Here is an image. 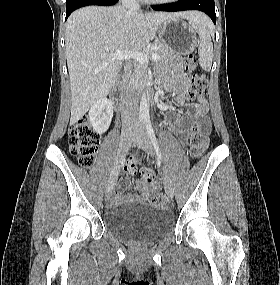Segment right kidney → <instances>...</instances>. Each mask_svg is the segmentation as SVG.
<instances>
[{"instance_id": "1", "label": "right kidney", "mask_w": 280, "mask_h": 285, "mask_svg": "<svg viewBox=\"0 0 280 285\" xmlns=\"http://www.w3.org/2000/svg\"><path fill=\"white\" fill-rule=\"evenodd\" d=\"M113 117V105L107 98H101L91 106L88 119L93 129L102 134L107 131Z\"/></svg>"}]
</instances>
